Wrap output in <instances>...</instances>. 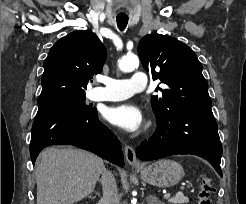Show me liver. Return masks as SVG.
I'll list each match as a JSON object with an SVG mask.
<instances>
[{"label": "liver", "instance_id": "liver-1", "mask_svg": "<svg viewBox=\"0 0 246 204\" xmlns=\"http://www.w3.org/2000/svg\"><path fill=\"white\" fill-rule=\"evenodd\" d=\"M105 171L98 156L71 147H49L35 169L37 204H74L89 196Z\"/></svg>", "mask_w": 246, "mask_h": 204}]
</instances>
